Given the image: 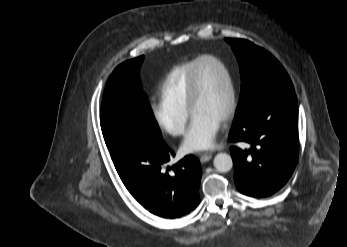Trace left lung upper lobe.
Masks as SVG:
<instances>
[{
	"label": "left lung upper lobe",
	"instance_id": "5c2ea615",
	"mask_svg": "<svg viewBox=\"0 0 347 247\" xmlns=\"http://www.w3.org/2000/svg\"><path fill=\"white\" fill-rule=\"evenodd\" d=\"M238 59L241 75L240 100L235 120L247 114L265 96L292 90L286 70L269 52L242 39L226 38Z\"/></svg>",
	"mask_w": 347,
	"mask_h": 247
}]
</instances>
